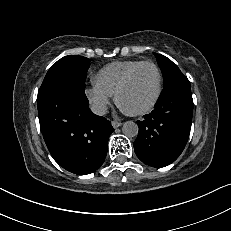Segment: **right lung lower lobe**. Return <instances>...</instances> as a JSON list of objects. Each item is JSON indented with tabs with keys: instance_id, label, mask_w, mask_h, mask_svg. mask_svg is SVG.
<instances>
[{
	"instance_id": "1",
	"label": "right lung lower lobe",
	"mask_w": 231,
	"mask_h": 231,
	"mask_svg": "<svg viewBox=\"0 0 231 231\" xmlns=\"http://www.w3.org/2000/svg\"><path fill=\"white\" fill-rule=\"evenodd\" d=\"M84 89L65 84L37 97L41 131L55 161L69 172L84 175L97 170L107 154L114 131L104 117L91 112Z\"/></svg>"
}]
</instances>
